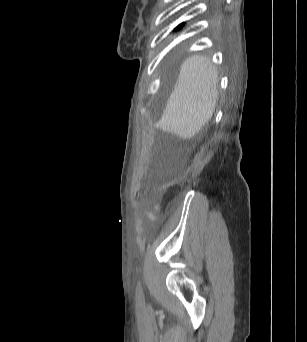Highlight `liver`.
Wrapping results in <instances>:
<instances>
[{
  "mask_svg": "<svg viewBox=\"0 0 307 342\" xmlns=\"http://www.w3.org/2000/svg\"><path fill=\"white\" fill-rule=\"evenodd\" d=\"M218 70L204 56H189L180 72L161 120L162 132L190 140L211 120L218 100Z\"/></svg>",
  "mask_w": 307,
  "mask_h": 342,
  "instance_id": "obj_1",
  "label": "liver"
}]
</instances>
